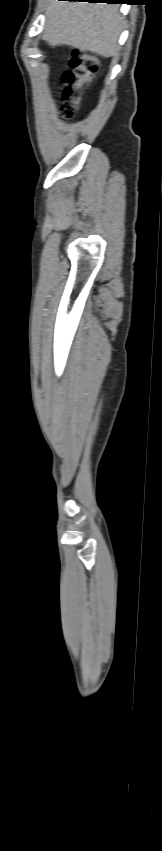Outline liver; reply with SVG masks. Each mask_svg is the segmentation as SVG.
<instances>
[{
    "label": "liver",
    "instance_id": "obj_1",
    "mask_svg": "<svg viewBox=\"0 0 162 851\" xmlns=\"http://www.w3.org/2000/svg\"><path fill=\"white\" fill-rule=\"evenodd\" d=\"M121 31L117 5L47 0L43 38L52 46L67 45L112 57L119 51Z\"/></svg>",
    "mask_w": 162,
    "mask_h": 851
}]
</instances>
